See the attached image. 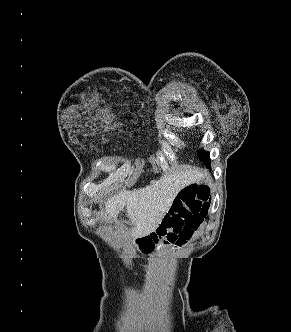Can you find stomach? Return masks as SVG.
<instances>
[{
  "instance_id": "0dacf381",
  "label": "stomach",
  "mask_w": 291,
  "mask_h": 332,
  "mask_svg": "<svg viewBox=\"0 0 291 332\" xmlns=\"http://www.w3.org/2000/svg\"><path fill=\"white\" fill-rule=\"evenodd\" d=\"M200 184L203 186L210 185V180L208 178H203V180L200 182Z\"/></svg>"
}]
</instances>
